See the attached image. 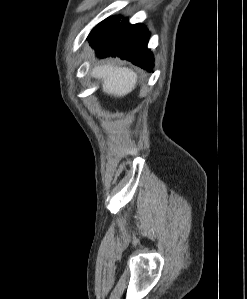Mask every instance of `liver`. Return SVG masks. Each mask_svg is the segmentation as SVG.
<instances>
[{
	"mask_svg": "<svg viewBox=\"0 0 247 299\" xmlns=\"http://www.w3.org/2000/svg\"><path fill=\"white\" fill-rule=\"evenodd\" d=\"M92 76L101 79L103 92L114 97L125 96L137 83V74L133 70L110 63L95 65Z\"/></svg>",
	"mask_w": 247,
	"mask_h": 299,
	"instance_id": "1",
	"label": "liver"
}]
</instances>
